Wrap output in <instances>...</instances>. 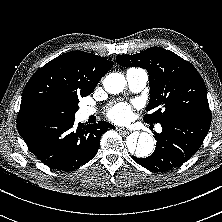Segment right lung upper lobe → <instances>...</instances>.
<instances>
[{"label": "right lung upper lobe", "instance_id": "right-lung-upper-lobe-1", "mask_svg": "<svg viewBox=\"0 0 222 222\" xmlns=\"http://www.w3.org/2000/svg\"><path fill=\"white\" fill-rule=\"evenodd\" d=\"M113 64L111 58L83 51H71L54 58L26 84L17 123L45 118L44 110L51 102L68 105L91 94Z\"/></svg>", "mask_w": 222, "mask_h": 222}]
</instances>
